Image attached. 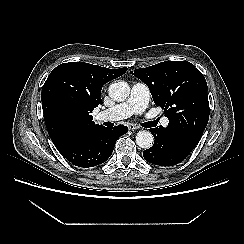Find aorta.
<instances>
[{
    "label": "aorta",
    "mask_w": 244,
    "mask_h": 244,
    "mask_svg": "<svg viewBox=\"0 0 244 244\" xmlns=\"http://www.w3.org/2000/svg\"><path fill=\"white\" fill-rule=\"evenodd\" d=\"M109 96L114 101H125L130 94V87L126 82L112 83L108 89ZM154 143V137L149 131H139L136 135V144L143 149H149Z\"/></svg>",
    "instance_id": "762f6f07"
}]
</instances>
